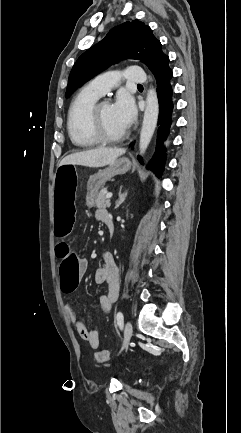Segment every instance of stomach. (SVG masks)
I'll use <instances>...</instances> for the list:
<instances>
[{
    "instance_id": "obj_1",
    "label": "stomach",
    "mask_w": 241,
    "mask_h": 433,
    "mask_svg": "<svg viewBox=\"0 0 241 433\" xmlns=\"http://www.w3.org/2000/svg\"><path fill=\"white\" fill-rule=\"evenodd\" d=\"M132 163L128 158L116 159L108 167L89 177L87 182L86 203L93 206L95 198L105 183L116 175L125 174L131 169Z\"/></svg>"
}]
</instances>
